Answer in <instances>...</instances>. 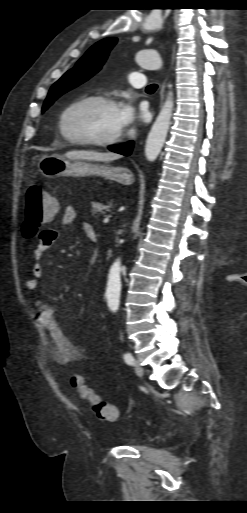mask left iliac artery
Here are the masks:
<instances>
[{"instance_id": "obj_1", "label": "left iliac artery", "mask_w": 247, "mask_h": 513, "mask_svg": "<svg viewBox=\"0 0 247 513\" xmlns=\"http://www.w3.org/2000/svg\"><path fill=\"white\" fill-rule=\"evenodd\" d=\"M124 360L129 365H133L134 364V358H133L132 354L129 353V352H126L124 354Z\"/></svg>"}]
</instances>
